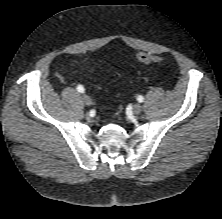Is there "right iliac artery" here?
<instances>
[{
  "label": "right iliac artery",
  "mask_w": 222,
  "mask_h": 219,
  "mask_svg": "<svg viewBox=\"0 0 222 219\" xmlns=\"http://www.w3.org/2000/svg\"><path fill=\"white\" fill-rule=\"evenodd\" d=\"M77 91L80 92V93H84L85 89L82 85H78L77 86Z\"/></svg>",
  "instance_id": "82829eb1"
}]
</instances>
